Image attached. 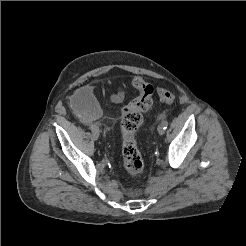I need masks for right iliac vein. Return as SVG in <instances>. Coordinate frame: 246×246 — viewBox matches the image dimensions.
Listing matches in <instances>:
<instances>
[{
	"instance_id": "right-iliac-vein-1",
	"label": "right iliac vein",
	"mask_w": 246,
	"mask_h": 246,
	"mask_svg": "<svg viewBox=\"0 0 246 246\" xmlns=\"http://www.w3.org/2000/svg\"><path fill=\"white\" fill-rule=\"evenodd\" d=\"M92 136L94 140H97L99 138V132L98 131L93 132Z\"/></svg>"
}]
</instances>
